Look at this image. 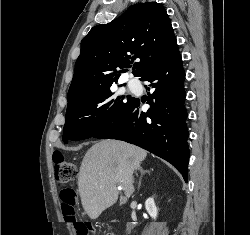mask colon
Instances as JSON below:
<instances>
[{
  "mask_svg": "<svg viewBox=\"0 0 250 235\" xmlns=\"http://www.w3.org/2000/svg\"><path fill=\"white\" fill-rule=\"evenodd\" d=\"M55 179L58 184H66L76 179L78 170L75 163L68 161L62 154L54 155ZM61 208L67 222L74 225L77 235H88V226L76 217L77 195L72 189L60 193Z\"/></svg>",
  "mask_w": 250,
  "mask_h": 235,
  "instance_id": "colon-1",
  "label": "colon"
}]
</instances>
